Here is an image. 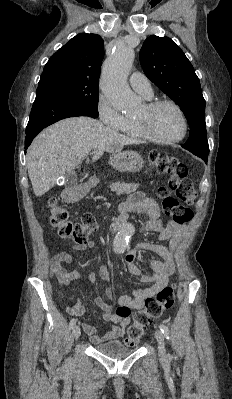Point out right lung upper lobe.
<instances>
[{
    "label": "right lung upper lobe",
    "mask_w": 232,
    "mask_h": 399,
    "mask_svg": "<svg viewBox=\"0 0 232 399\" xmlns=\"http://www.w3.org/2000/svg\"><path fill=\"white\" fill-rule=\"evenodd\" d=\"M103 57V39L97 34L80 33L53 54L40 80L66 78L98 84Z\"/></svg>",
    "instance_id": "cb5924a9"
}]
</instances>
